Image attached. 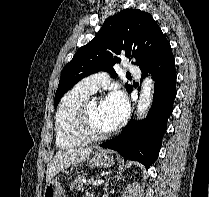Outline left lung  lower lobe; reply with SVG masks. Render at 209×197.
I'll list each match as a JSON object with an SVG mask.
<instances>
[{"label": "left lung lower lobe", "mask_w": 209, "mask_h": 197, "mask_svg": "<svg viewBox=\"0 0 209 197\" xmlns=\"http://www.w3.org/2000/svg\"><path fill=\"white\" fill-rule=\"evenodd\" d=\"M140 69L142 78L149 70L155 80L153 105L147 117L141 122L133 121L132 117L120 135L101 146L116 150L123 157L138 161L148 169L158 157L176 97L175 60L168 40Z\"/></svg>", "instance_id": "0a47b994"}]
</instances>
